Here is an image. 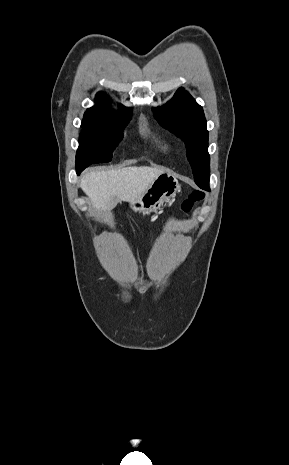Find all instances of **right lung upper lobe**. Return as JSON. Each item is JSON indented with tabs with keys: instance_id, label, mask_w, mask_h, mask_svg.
<instances>
[{
	"instance_id": "cb5924a9",
	"label": "right lung upper lobe",
	"mask_w": 289,
	"mask_h": 465,
	"mask_svg": "<svg viewBox=\"0 0 289 465\" xmlns=\"http://www.w3.org/2000/svg\"><path fill=\"white\" fill-rule=\"evenodd\" d=\"M98 105L89 108L85 114L82 125L85 126H103L113 120L112 111L109 109L107 96L99 92L96 95Z\"/></svg>"
}]
</instances>
